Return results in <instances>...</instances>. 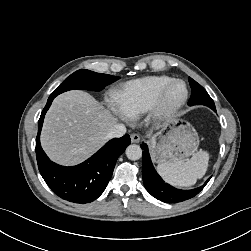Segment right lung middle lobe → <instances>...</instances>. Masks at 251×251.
Segmentation results:
<instances>
[{
  "label": "right lung middle lobe",
  "instance_id": "1",
  "mask_svg": "<svg viewBox=\"0 0 251 251\" xmlns=\"http://www.w3.org/2000/svg\"><path fill=\"white\" fill-rule=\"evenodd\" d=\"M119 77L80 69L69 77L53 92L55 95L72 89L101 91L106 85L118 80Z\"/></svg>",
  "mask_w": 251,
  "mask_h": 251
}]
</instances>
